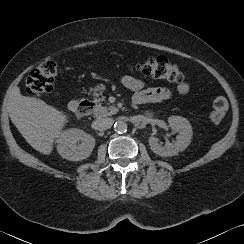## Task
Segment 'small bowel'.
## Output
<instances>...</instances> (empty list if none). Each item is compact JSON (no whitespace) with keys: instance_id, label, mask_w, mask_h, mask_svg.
I'll return each mask as SVG.
<instances>
[{"instance_id":"1","label":"small bowel","mask_w":244,"mask_h":244,"mask_svg":"<svg viewBox=\"0 0 244 244\" xmlns=\"http://www.w3.org/2000/svg\"><path fill=\"white\" fill-rule=\"evenodd\" d=\"M121 84L134 92V105H140L151 102H160L168 100L172 96V91L166 87H146L143 80L133 76H123ZM190 86L187 82H182L177 86V92L180 95H186Z\"/></svg>"}]
</instances>
